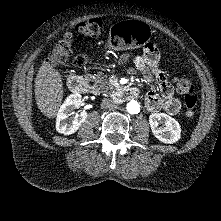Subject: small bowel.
I'll use <instances>...</instances> for the list:
<instances>
[{"instance_id":"obj_1","label":"small bowel","mask_w":221,"mask_h":221,"mask_svg":"<svg viewBox=\"0 0 221 221\" xmlns=\"http://www.w3.org/2000/svg\"><path fill=\"white\" fill-rule=\"evenodd\" d=\"M154 48L156 47L153 44H149L144 48L142 55L132 59L128 53H123L119 57V64L126 66V70L129 73L138 69L145 74L147 81L154 80L157 82L158 90L149 91L146 96L145 104L149 110L157 111L163 109L171 115H176L181 110V103L174 96V90L170 83L148 54ZM129 62H131V65L127 66Z\"/></svg>"}]
</instances>
